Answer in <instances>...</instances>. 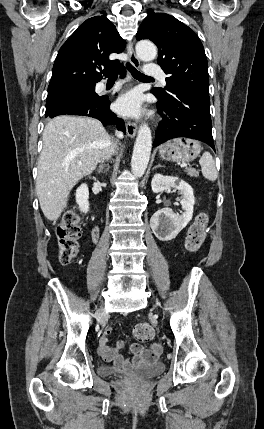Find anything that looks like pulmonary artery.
Wrapping results in <instances>:
<instances>
[{"mask_svg": "<svg viewBox=\"0 0 264 429\" xmlns=\"http://www.w3.org/2000/svg\"><path fill=\"white\" fill-rule=\"evenodd\" d=\"M145 73L147 76L151 78H158L162 83H165L166 76L160 66L153 63H149L145 68Z\"/></svg>", "mask_w": 264, "mask_h": 429, "instance_id": "e3ab8cb5", "label": "pulmonary artery"}]
</instances>
